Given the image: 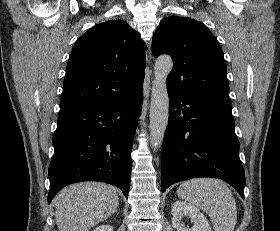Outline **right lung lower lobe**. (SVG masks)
Returning a JSON list of instances; mask_svg holds the SVG:
<instances>
[{
    "instance_id": "right-lung-lower-lobe-1",
    "label": "right lung lower lobe",
    "mask_w": 280,
    "mask_h": 231,
    "mask_svg": "<svg viewBox=\"0 0 280 231\" xmlns=\"http://www.w3.org/2000/svg\"><path fill=\"white\" fill-rule=\"evenodd\" d=\"M142 101L140 88L132 95L58 116L48 204L62 188L80 181L109 183L128 198L130 154Z\"/></svg>"
}]
</instances>
